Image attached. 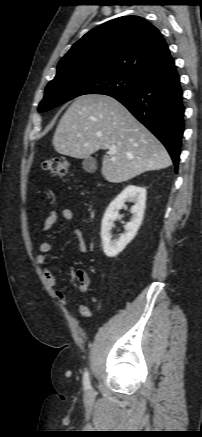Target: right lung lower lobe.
<instances>
[{
	"mask_svg": "<svg viewBox=\"0 0 202 437\" xmlns=\"http://www.w3.org/2000/svg\"><path fill=\"white\" fill-rule=\"evenodd\" d=\"M111 97L121 102L163 143L177 168L185 107L174 62L146 77L137 89Z\"/></svg>",
	"mask_w": 202,
	"mask_h": 437,
	"instance_id": "right-lung-lower-lobe-1",
	"label": "right lung lower lobe"
}]
</instances>
